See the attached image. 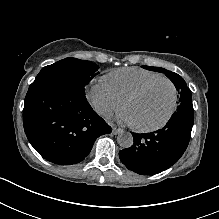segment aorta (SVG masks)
I'll return each instance as SVG.
<instances>
[{
	"mask_svg": "<svg viewBox=\"0 0 219 219\" xmlns=\"http://www.w3.org/2000/svg\"><path fill=\"white\" fill-rule=\"evenodd\" d=\"M117 142L122 148H129L133 145V137L130 133H123L117 137Z\"/></svg>",
	"mask_w": 219,
	"mask_h": 219,
	"instance_id": "762f6f07",
	"label": "aorta"
}]
</instances>
